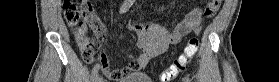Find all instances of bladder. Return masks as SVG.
I'll return each instance as SVG.
<instances>
[{"mask_svg":"<svg viewBox=\"0 0 279 82\" xmlns=\"http://www.w3.org/2000/svg\"><path fill=\"white\" fill-rule=\"evenodd\" d=\"M115 82H151V80L145 72H133Z\"/></svg>","mask_w":279,"mask_h":82,"instance_id":"1","label":"bladder"}]
</instances>
